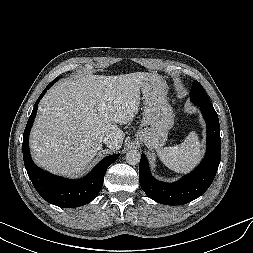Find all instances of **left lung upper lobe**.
Instances as JSON below:
<instances>
[{"instance_id": "obj_1", "label": "left lung upper lobe", "mask_w": 253, "mask_h": 253, "mask_svg": "<svg viewBox=\"0 0 253 253\" xmlns=\"http://www.w3.org/2000/svg\"><path fill=\"white\" fill-rule=\"evenodd\" d=\"M190 99L198 106L213 107L204 88L197 81H194L192 84V88L190 90Z\"/></svg>"}]
</instances>
